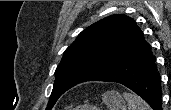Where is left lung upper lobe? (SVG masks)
<instances>
[{
	"instance_id": "left-lung-upper-lobe-1",
	"label": "left lung upper lobe",
	"mask_w": 171,
	"mask_h": 110,
	"mask_svg": "<svg viewBox=\"0 0 171 110\" xmlns=\"http://www.w3.org/2000/svg\"><path fill=\"white\" fill-rule=\"evenodd\" d=\"M144 41L136 22L122 14L106 17L87 27L65 50L56 68L46 110H51L65 91L116 66Z\"/></svg>"
}]
</instances>
